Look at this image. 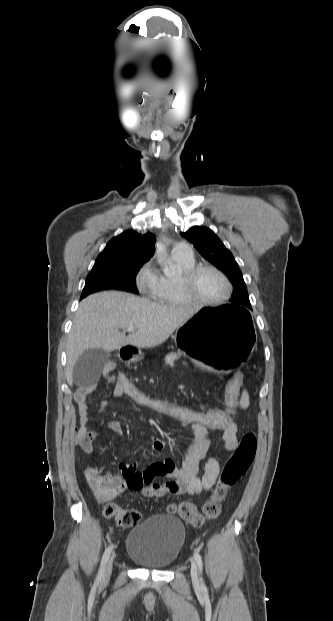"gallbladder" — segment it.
<instances>
[{
	"label": "gallbladder",
	"mask_w": 333,
	"mask_h": 621,
	"mask_svg": "<svg viewBox=\"0 0 333 621\" xmlns=\"http://www.w3.org/2000/svg\"><path fill=\"white\" fill-rule=\"evenodd\" d=\"M109 357V352L102 349H89L82 353L73 368L72 376L75 385L90 386L96 384Z\"/></svg>",
	"instance_id": "obj_1"
}]
</instances>
